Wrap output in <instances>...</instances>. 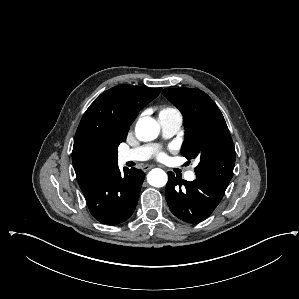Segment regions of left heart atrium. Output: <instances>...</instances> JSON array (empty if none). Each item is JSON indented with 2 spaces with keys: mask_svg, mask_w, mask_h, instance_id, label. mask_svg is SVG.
Masks as SVG:
<instances>
[{
  "mask_svg": "<svg viewBox=\"0 0 299 299\" xmlns=\"http://www.w3.org/2000/svg\"><path fill=\"white\" fill-rule=\"evenodd\" d=\"M157 157H158V159L163 160L166 158V154H165V152L161 151L157 154Z\"/></svg>",
  "mask_w": 299,
  "mask_h": 299,
  "instance_id": "39dd6f15",
  "label": "left heart atrium"
}]
</instances>
